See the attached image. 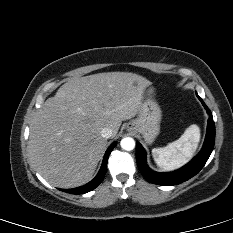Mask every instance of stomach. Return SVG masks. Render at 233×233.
I'll return each instance as SVG.
<instances>
[{
	"instance_id": "1",
	"label": "stomach",
	"mask_w": 233,
	"mask_h": 233,
	"mask_svg": "<svg viewBox=\"0 0 233 233\" xmlns=\"http://www.w3.org/2000/svg\"><path fill=\"white\" fill-rule=\"evenodd\" d=\"M154 89L149 87L144 91V100L142 101L137 118L131 120L127 128L130 132L142 134L146 143L151 144L160 131V121L162 112L153 99Z\"/></svg>"
}]
</instances>
